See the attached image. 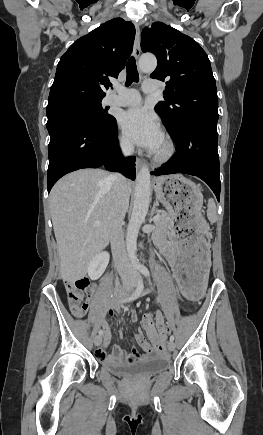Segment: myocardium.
I'll use <instances>...</instances> for the list:
<instances>
[{
  "instance_id": "myocardium-1",
  "label": "myocardium",
  "mask_w": 263,
  "mask_h": 435,
  "mask_svg": "<svg viewBox=\"0 0 263 435\" xmlns=\"http://www.w3.org/2000/svg\"><path fill=\"white\" fill-rule=\"evenodd\" d=\"M164 150L162 152H154L152 157L153 161L157 164H163L171 160L176 154V146L173 140L165 137L163 140Z\"/></svg>"
}]
</instances>
